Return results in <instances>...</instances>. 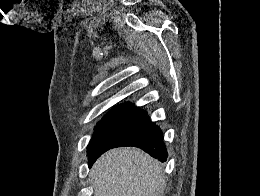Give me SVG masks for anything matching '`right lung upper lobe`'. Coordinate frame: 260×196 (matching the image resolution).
Masks as SVG:
<instances>
[{"label":"right lung upper lobe","mask_w":260,"mask_h":196,"mask_svg":"<svg viewBox=\"0 0 260 196\" xmlns=\"http://www.w3.org/2000/svg\"><path fill=\"white\" fill-rule=\"evenodd\" d=\"M121 105H129V103L127 104V103H125V104H121Z\"/></svg>","instance_id":"1"}]
</instances>
